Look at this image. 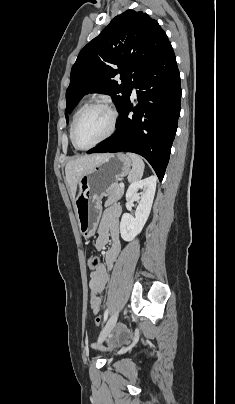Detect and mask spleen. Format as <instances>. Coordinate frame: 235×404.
Segmentation results:
<instances>
[{
  "label": "spleen",
  "mask_w": 235,
  "mask_h": 404,
  "mask_svg": "<svg viewBox=\"0 0 235 404\" xmlns=\"http://www.w3.org/2000/svg\"><path fill=\"white\" fill-rule=\"evenodd\" d=\"M127 155L132 160V170L129 172L128 181L133 183L141 179L145 165L139 155L135 153H128Z\"/></svg>",
  "instance_id": "1"
}]
</instances>
